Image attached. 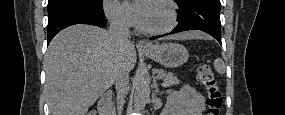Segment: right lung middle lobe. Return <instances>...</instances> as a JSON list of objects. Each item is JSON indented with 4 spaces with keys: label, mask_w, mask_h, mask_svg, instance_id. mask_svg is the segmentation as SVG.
I'll return each instance as SVG.
<instances>
[{
    "label": "right lung middle lobe",
    "mask_w": 285,
    "mask_h": 115,
    "mask_svg": "<svg viewBox=\"0 0 285 115\" xmlns=\"http://www.w3.org/2000/svg\"><path fill=\"white\" fill-rule=\"evenodd\" d=\"M83 7L92 10H103L102 0H49L48 14L65 7Z\"/></svg>",
    "instance_id": "obj_1"
}]
</instances>
